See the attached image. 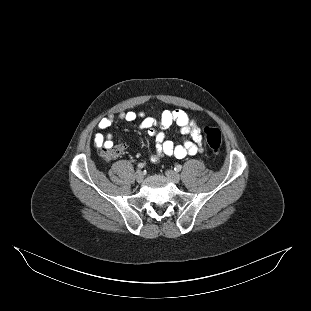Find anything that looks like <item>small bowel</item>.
<instances>
[{
  "instance_id": "c3829d8e",
  "label": "small bowel",
  "mask_w": 311,
  "mask_h": 311,
  "mask_svg": "<svg viewBox=\"0 0 311 311\" xmlns=\"http://www.w3.org/2000/svg\"><path fill=\"white\" fill-rule=\"evenodd\" d=\"M119 117L127 122L141 118L139 128L146 130L155 141L156 150L151 156L152 162H158L163 156L183 159L186 156H193L203 151L200 129L183 110H165L158 118L133 111L121 113ZM113 121L114 118L112 115L101 119L98 123V129L105 130L109 128L113 124ZM172 125H177L180 132L188 137L182 144L175 145L171 140L166 138L165 130ZM93 141L97 147L112 145L111 136H105L101 132L94 134Z\"/></svg>"
}]
</instances>
